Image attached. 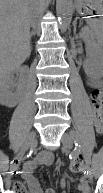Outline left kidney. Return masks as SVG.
<instances>
[{
	"label": "left kidney",
	"mask_w": 103,
	"mask_h": 193,
	"mask_svg": "<svg viewBox=\"0 0 103 193\" xmlns=\"http://www.w3.org/2000/svg\"><path fill=\"white\" fill-rule=\"evenodd\" d=\"M86 52L88 59L83 64L84 72L88 77H101L103 74L102 51L94 47H88Z\"/></svg>",
	"instance_id": "5707ae66"
}]
</instances>
